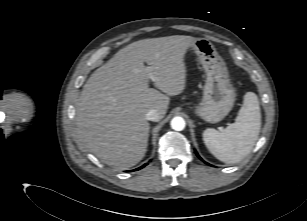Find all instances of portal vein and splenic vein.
<instances>
[{
  "label": "portal vein and splenic vein",
  "instance_id": "18ae733b",
  "mask_svg": "<svg viewBox=\"0 0 307 221\" xmlns=\"http://www.w3.org/2000/svg\"><path fill=\"white\" fill-rule=\"evenodd\" d=\"M146 70L148 71L149 78H153L152 69L149 66H146Z\"/></svg>",
  "mask_w": 307,
  "mask_h": 221
}]
</instances>
